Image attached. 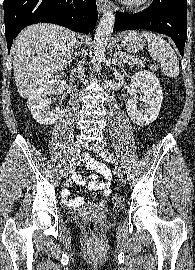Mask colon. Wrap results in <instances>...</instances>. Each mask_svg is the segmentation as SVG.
Instances as JSON below:
<instances>
[{
  "instance_id": "obj_1",
  "label": "colon",
  "mask_w": 195,
  "mask_h": 270,
  "mask_svg": "<svg viewBox=\"0 0 195 270\" xmlns=\"http://www.w3.org/2000/svg\"><path fill=\"white\" fill-rule=\"evenodd\" d=\"M119 202H120V198H119L118 196H114V197L112 198V203H113L114 205L119 204ZM88 229H89L90 232H95V231H96V229H97V224H96V222H95L94 220H89V221H88Z\"/></svg>"
}]
</instances>
